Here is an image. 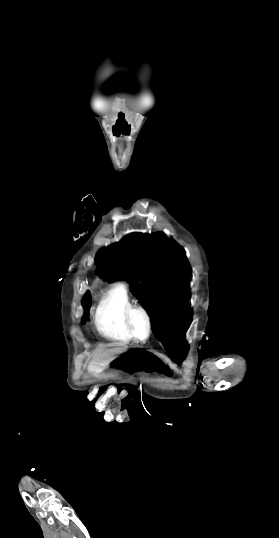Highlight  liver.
I'll list each match as a JSON object with an SVG mask.
<instances>
[{"label": "liver", "instance_id": "1", "mask_svg": "<svg viewBox=\"0 0 279 538\" xmlns=\"http://www.w3.org/2000/svg\"><path fill=\"white\" fill-rule=\"evenodd\" d=\"M115 352H117V350H108V354H115ZM95 368H96L95 362H91L90 366H88L89 372H93Z\"/></svg>", "mask_w": 279, "mask_h": 538}]
</instances>
